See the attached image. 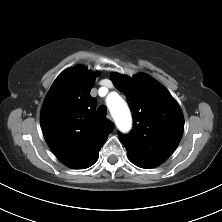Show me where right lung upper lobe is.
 Instances as JSON below:
<instances>
[{
	"label": "right lung upper lobe",
	"instance_id": "cb5924a9",
	"mask_svg": "<svg viewBox=\"0 0 222 222\" xmlns=\"http://www.w3.org/2000/svg\"><path fill=\"white\" fill-rule=\"evenodd\" d=\"M95 74L77 65L54 81L42 106L41 127L47 144L66 166L85 169L98 159L99 150L114 124L96 113L90 90Z\"/></svg>",
	"mask_w": 222,
	"mask_h": 222
}]
</instances>
